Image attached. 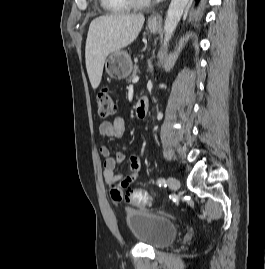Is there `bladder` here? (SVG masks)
Listing matches in <instances>:
<instances>
[{
  "mask_svg": "<svg viewBox=\"0 0 265 269\" xmlns=\"http://www.w3.org/2000/svg\"><path fill=\"white\" fill-rule=\"evenodd\" d=\"M124 217L130 234L143 245L154 249L169 246L178 235L175 223L147 210L128 209Z\"/></svg>",
  "mask_w": 265,
  "mask_h": 269,
  "instance_id": "obj_1",
  "label": "bladder"
}]
</instances>
